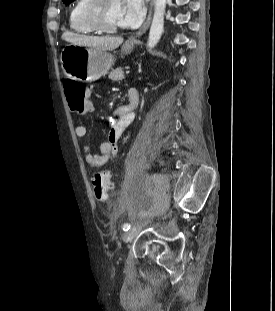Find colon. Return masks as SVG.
Here are the masks:
<instances>
[{
  "mask_svg": "<svg viewBox=\"0 0 275 311\" xmlns=\"http://www.w3.org/2000/svg\"><path fill=\"white\" fill-rule=\"evenodd\" d=\"M64 89L69 108L73 112H82L83 116L91 112L90 103L88 102L89 90L84 84L74 80H66ZM92 188L97 200H107L109 192L112 189L109 175L104 172L95 173L92 179Z\"/></svg>",
  "mask_w": 275,
  "mask_h": 311,
  "instance_id": "colon-1",
  "label": "colon"
}]
</instances>
